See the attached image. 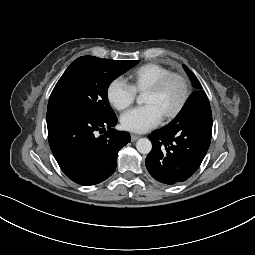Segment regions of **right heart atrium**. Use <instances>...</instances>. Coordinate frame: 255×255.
I'll list each match as a JSON object with an SVG mask.
<instances>
[{
    "mask_svg": "<svg viewBox=\"0 0 255 255\" xmlns=\"http://www.w3.org/2000/svg\"><path fill=\"white\" fill-rule=\"evenodd\" d=\"M106 96L116 110L123 111L135 101L136 91L124 79L118 77L108 84Z\"/></svg>",
    "mask_w": 255,
    "mask_h": 255,
    "instance_id": "obj_1",
    "label": "right heart atrium"
}]
</instances>
